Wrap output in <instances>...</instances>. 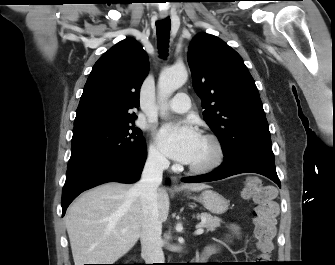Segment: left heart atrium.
Masks as SVG:
<instances>
[{"instance_id": "1", "label": "left heart atrium", "mask_w": 335, "mask_h": 265, "mask_svg": "<svg viewBox=\"0 0 335 265\" xmlns=\"http://www.w3.org/2000/svg\"><path fill=\"white\" fill-rule=\"evenodd\" d=\"M201 138L198 130L189 122L181 125L166 124L158 134L159 143L165 154L185 164L193 160Z\"/></svg>"}]
</instances>
